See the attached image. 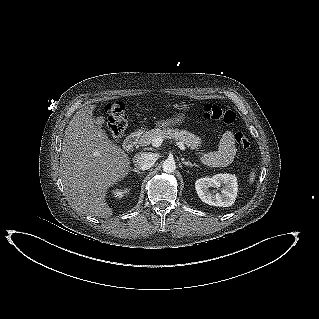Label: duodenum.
Instances as JSON below:
<instances>
[{"label":"duodenum","mask_w":319,"mask_h":319,"mask_svg":"<svg viewBox=\"0 0 319 319\" xmlns=\"http://www.w3.org/2000/svg\"><path fill=\"white\" fill-rule=\"evenodd\" d=\"M140 132L141 131L139 129L134 130L125 138L123 142V149L125 151L130 152L136 147V144L140 136Z\"/></svg>","instance_id":"410a0bca"}]
</instances>
